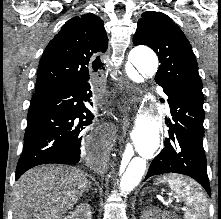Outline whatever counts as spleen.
Listing matches in <instances>:
<instances>
[{
	"label": "spleen",
	"instance_id": "3e777b00",
	"mask_svg": "<svg viewBox=\"0 0 221 219\" xmlns=\"http://www.w3.org/2000/svg\"><path fill=\"white\" fill-rule=\"evenodd\" d=\"M159 182L167 183L171 191L185 202L188 207L184 214L185 219H208L207 198L197 182L175 174L163 176Z\"/></svg>",
	"mask_w": 221,
	"mask_h": 219
}]
</instances>
